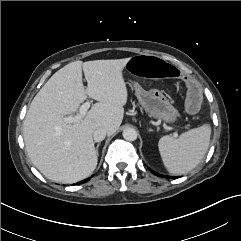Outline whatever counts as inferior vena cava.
Returning a JSON list of instances; mask_svg holds the SVG:
<instances>
[{"label": "inferior vena cava", "instance_id": "602c4592", "mask_svg": "<svg viewBox=\"0 0 241 241\" xmlns=\"http://www.w3.org/2000/svg\"><path fill=\"white\" fill-rule=\"evenodd\" d=\"M106 133L107 132L104 128L99 127L93 132V138L96 142H100L104 140V138L106 137Z\"/></svg>", "mask_w": 241, "mask_h": 241}]
</instances>
